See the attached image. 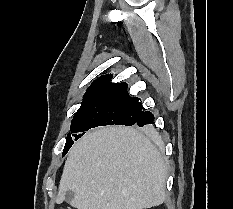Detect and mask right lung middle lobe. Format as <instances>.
<instances>
[{"mask_svg":"<svg viewBox=\"0 0 233 209\" xmlns=\"http://www.w3.org/2000/svg\"><path fill=\"white\" fill-rule=\"evenodd\" d=\"M141 103L104 102L81 106L75 113L71 133L66 138L63 156L84 131L105 125H134L142 114ZM145 129H149L145 127ZM83 132V133H81ZM80 133V134H77Z\"/></svg>","mask_w":233,"mask_h":209,"instance_id":"obj_1","label":"right lung middle lobe"}]
</instances>
